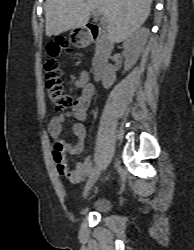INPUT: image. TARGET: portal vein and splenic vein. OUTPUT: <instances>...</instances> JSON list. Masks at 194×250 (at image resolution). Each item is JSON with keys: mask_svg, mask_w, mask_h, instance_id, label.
Returning a JSON list of instances; mask_svg holds the SVG:
<instances>
[{"mask_svg": "<svg viewBox=\"0 0 194 250\" xmlns=\"http://www.w3.org/2000/svg\"><path fill=\"white\" fill-rule=\"evenodd\" d=\"M93 15H94L95 17H100V16H101V14H100L99 12H97V11H94V12H93ZM100 21H101V24H102V25L106 24V22H107V20H106L105 17H101V18H100Z\"/></svg>", "mask_w": 194, "mask_h": 250, "instance_id": "1", "label": "portal vein and splenic vein"}]
</instances>
